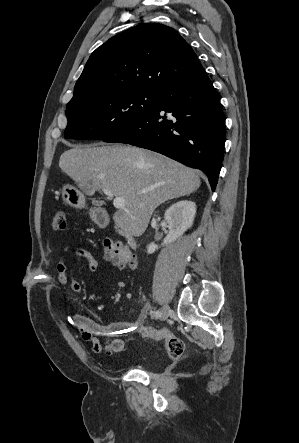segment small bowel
<instances>
[{
  "instance_id": "small-bowel-1",
  "label": "small bowel",
  "mask_w": 299,
  "mask_h": 443,
  "mask_svg": "<svg viewBox=\"0 0 299 443\" xmlns=\"http://www.w3.org/2000/svg\"><path fill=\"white\" fill-rule=\"evenodd\" d=\"M67 251L68 247H64L60 252L61 258L57 264L58 287L61 289L70 287L75 294H80L82 290L81 284L76 280L72 269L66 263L65 257ZM77 255L87 261L88 268L91 272L98 270L99 263L89 251L79 249L77 250ZM149 312V305H145L134 324L117 321L103 325L80 313H73L72 321L80 333L81 338L91 345L92 351L95 354L111 356L124 351L125 342L121 337L127 336L130 333L141 335L142 323ZM99 337H105V341L102 342Z\"/></svg>"
}]
</instances>
